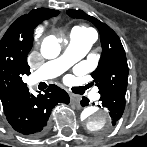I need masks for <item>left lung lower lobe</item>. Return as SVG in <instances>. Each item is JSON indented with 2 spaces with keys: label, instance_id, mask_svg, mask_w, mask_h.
I'll list each match as a JSON object with an SVG mask.
<instances>
[{
  "label": "left lung lower lobe",
  "instance_id": "obj_1",
  "mask_svg": "<svg viewBox=\"0 0 147 147\" xmlns=\"http://www.w3.org/2000/svg\"><path fill=\"white\" fill-rule=\"evenodd\" d=\"M101 94L99 107H104L109 111L111 116V125L115 126L118 120L121 118L125 109V94L126 88L116 87L108 89ZM89 100L83 97L81 101L82 106H87Z\"/></svg>",
  "mask_w": 147,
  "mask_h": 147
}]
</instances>
